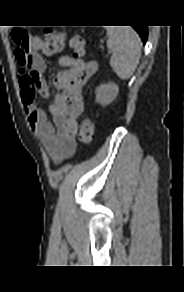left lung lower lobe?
<instances>
[{
    "label": "left lung lower lobe",
    "mask_w": 184,
    "mask_h": 292,
    "mask_svg": "<svg viewBox=\"0 0 184 292\" xmlns=\"http://www.w3.org/2000/svg\"><path fill=\"white\" fill-rule=\"evenodd\" d=\"M140 35L143 43H146L147 40V36H148V30H147V26H142V25H136V26H132Z\"/></svg>",
    "instance_id": "obj_1"
}]
</instances>
